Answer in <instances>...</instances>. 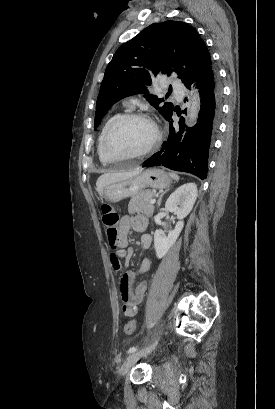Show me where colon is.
I'll return each instance as SVG.
<instances>
[{
  "label": "colon",
  "mask_w": 275,
  "mask_h": 409,
  "mask_svg": "<svg viewBox=\"0 0 275 409\" xmlns=\"http://www.w3.org/2000/svg\"><path fill=\"white\" fill-rule=\"evenodd\" d=\"M118 212L110 205H104L102 211V222L106 229L107 240L110 248H118L120 243V230L118 225ZM123 267V266H122ZM136 330V321L131 319L124 326V333L131 335Z\"/></svg>",
  "instance_id": "5ec220e1"
}]
</instances>
